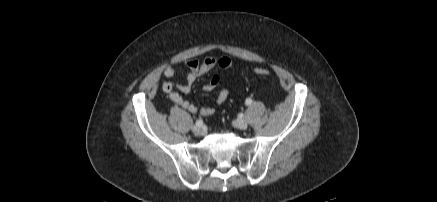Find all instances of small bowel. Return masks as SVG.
<instances>
[{
	"instance_id": "1",
	"label": "small bowel",
	"mask_w": 437,
	"mask_h": 202,
	"mask_svg": "<svg viewBox=\"0 0 437 202\" xmlns=\"http://www.w3.org/2000/svg\"><path fill=\"white\" fill-rule=\"evenodd\" d=\"M187 73H186V83L176 84L170 81H164L161 84V88L164 92L169 95V98L181 108L189 111L193 114H199L201 116H208L214 113L215 109L213 107H202L198 108L193 103L185 100L181 94H188L192 91L196 80L203 76L204 74L217 68L219 70L225 71L229 70L232 66V62L228 57H207L202 61L196 59H188L186 62ZM177 70L174 66L168 65L164 69V76L167 78H172L176 75ZM220 78L218 75H213L209 82L205 84L202 89L205 92H210L214 90L219 84ZM229 96V90L222 89L216 96V103H224Z\"/></svg>"
}]
</instances>
